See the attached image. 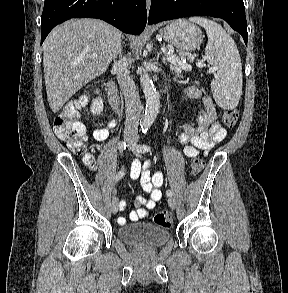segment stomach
Returning <instances> with one entry per match:
<instances>
[{
    "label": "stomach",
    "mask_w": 288,
    "mask_h": 293,
    "mask_svg": "<svg viewBox=\"0 0 288 293\" xmlns=\"http://www.w3.org/2000/svg\"><path fill=\"white\" fill-rule=\"evenodd\" d=\"M160 35L169 44L183 51H193L203 41L201 29L197 25L185 20L171 22L160 30Z\"/></svg>",
    "instance_id": "stomach-1"
}]
</instances>
